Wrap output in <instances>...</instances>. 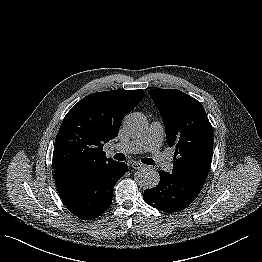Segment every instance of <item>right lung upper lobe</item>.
Wrapping results in <instances>:
<instances>
[{
  "label": "right lung upper lobe",
  "instance_id": "obj_1",
  "mask_svg": "<svg viewBox=\"0 0 262 262\" xmlns=\"http://www.w3.org/2000/svg\"><path fill=\"white\" fill-rule=\"evenodd\" d=\"M143 90L93 93L66 114L54 145L55 176L74 175L117 163L106 158L104 143L118 135L123 118L143 99Z\"/></svg>",
  "mask_w": 262,
  "mask_h": 262
}]
</instances>
